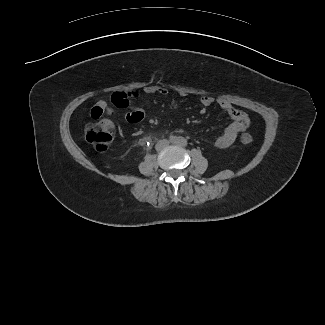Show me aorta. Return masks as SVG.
I'll return each instance as SVG.
<instances>
[{"instance_id": "obj_1", "label": "aorta", "mask_w": 325, "mask_h": 325, "mask_svg": "<svg viewBox=\"0 0 325 325\" xmlns=\"http://www.w3.org/2000/svg\"><path fill=\"white\" fill-rule=\"evenodd\" d=\"M178 144L184 146V145L187 144V141H186L185 138L181 137V138H179V140H178Z\"/></svg>"}]
</instances>
